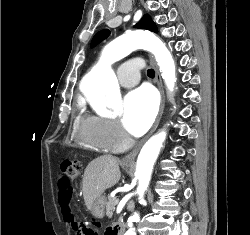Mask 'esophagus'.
I'll return each instance as SVG.
<instances>
[{"label": "esophagus", "mask_w": 250, "mask_h": 235, "mask_svg": "<svg viewBox=\"0 0 250 235\" xmlns=\"http://www.w3.org/2000/svg\"><path fill=\"white\" fill-rule=\"evenodd\" d=\"M150 59V63L152 64V66L154 67L155 69V82L158 86V89L160 91V95H161V102H160V107H159V112H158V115L156 117V120L149 132V134L127 155H125L122 159V162L123 163H133L134 162V159L135 157L137 156L139 150L141 149L143 143L147 140V138L156 130V128L158 127V124L161 120V117H162V114H163V110H164V105H165V94H164V89H163V85H162V81H161V76H160V73H159V69L153 59V57H149Z\"/></svg>", "instance_id": "obj_1"}]
</instances>
